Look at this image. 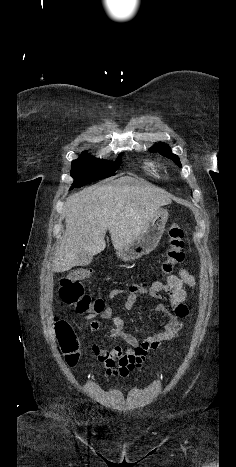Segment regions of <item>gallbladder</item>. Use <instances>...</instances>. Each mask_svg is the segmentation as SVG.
Returning a JSON list of instances; mask_svg holds the SVG:
<instances>
[{"instance_id": "obj_1", "label": "gallbladder", "mask_w": 236, "mask_h": 467, "mask_svg": "<svg viewBox=\"0 0 236 467\" xmlns=\"http://www.w3.org/2000/svg\"><path fill=\"white\" fill-rule=\"evenodd\" d=\"M92 256L86 252L82 251L79 254H77V261H78V266H87L92 262Z\"/></svg>"}]
</instances>
